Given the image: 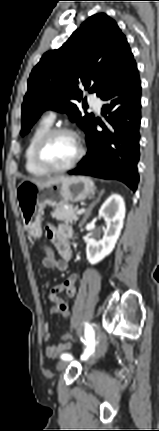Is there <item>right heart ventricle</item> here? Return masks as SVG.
I'll return each instance as SVG.
<instances>
[{"instance_id": "e07e8e85", "label": "right heart ventricle", "mask_w": 159, "mask_h": 431, "mask_svg": "<svg viewBox=\"0 0 159 431\" xmlns=\"http://www.w3.org/2000/svg\"><path fill=\"white\" fill-rule=\"evenodd\" d=\"M52 122L47 119H43L39 122V124L34 128L31 135L29 136L25 152H24V160H25V169L26 171L35 177H41L47 174L45 170L40 168L34 160V149L37 141L41 138V136L51 128Z\"/></svg>"}]
</instances>
